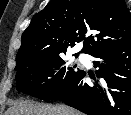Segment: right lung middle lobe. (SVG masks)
Masks as SVG:
<instances>
[{"label": "right lung middle lobe", "mask_w": 131, "mask_h": 115, "mask_svg": "<svg viewBox=\"0 0 131 115\" xmlns=\"http://www.w3.org/2000/svg\"><path fill=\"white\" fill-rule=\"evenodd\" d=\"M63 54H49L17 68V90L47 101L60 97L82 72L74 69L76 65L70 67Z\"/></svg>", "instance_id": "dd1d6c3e"}]
</instances>
